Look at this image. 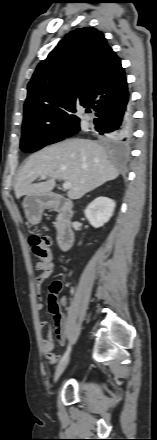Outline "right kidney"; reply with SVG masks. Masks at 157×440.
<instances>
[{"instance_id": "right-kidney-1", "label": "right kidney", "mask_w": 157, "mask_h": 440, "mask_svg": "<svg viewBox=\"0 0 157 440\" xmlns=\"http://www.w3.org/2000/svg\"><path fill=\"white\" fill-rule=\"evenodd\" d=\"M115 202L104 196L94 199L85 209V216L94 228L102 227L113 215Z\"/></svg>"}]
</instances>
